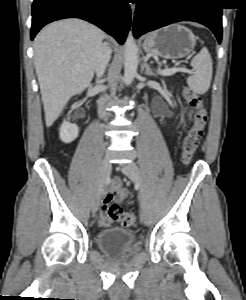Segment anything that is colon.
<instances>
[{
	"instance_id": "colon-1",
	"label": "colon",
	"mask_w": 246,
	"mask_h": 300,
	"mask_svg": "<svg viewBox=\"0 0 246 300\" xmlns=\"http://www.w3.org/2000/svg\"><path fill=\"white\" fill-rule=\"evenodd\" d=\"M183 94L188 104L196 109L193 127L185 137L182 145V162L188 164L199 146L208 116L203 99L199 94L188 87L184 88ZM103 213L111 220L117 221L126 227L133 226L136 223L135 214L124 212L119 205L111 204L108 199L103 201Z\"/></svg>"
}]
</instances>
